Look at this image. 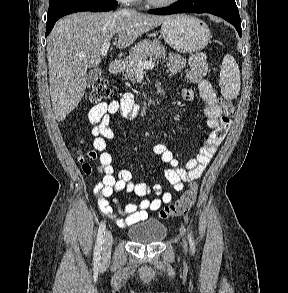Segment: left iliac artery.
<instances>
[{"mask_svg":"<svg viewBox=\"0 0 288 293\" xmlns=\"http://www.w3.org/2000/svg\"><path fill=\"white\" fill-rule=\"evenodd\" d=\"M188 239H189V243H190V248L193 252H195V245H194V241H193V238L191 236L190 233H188Z\"/></svg>","mask_w":288,"mask_h":293,"instance_id":"obj_1","label":"left iliac artery"}]
</instances>
